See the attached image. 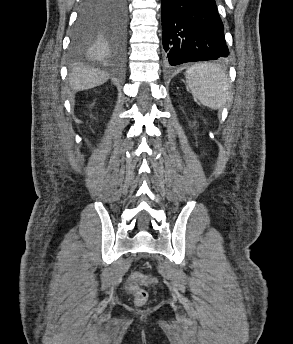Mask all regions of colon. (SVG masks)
I'll use <instances>...</instances> for the list:
<instances>
[{"label":"colon","mask_w":293,"mask_h":344,"mask_svg":"<svg viewBox=\"0 0 293 344\" xmlns=\"http://www.w3.org/2000/svg\"><path fill=\"white\" fill-rule=\"evenodd\" d=\"M143 279L144 276L141 273H133L129 279V287L138 306L144 305L148 300V292L139 286Z\"/></svg>","instance_id":"obj_1"}]
</instances>
